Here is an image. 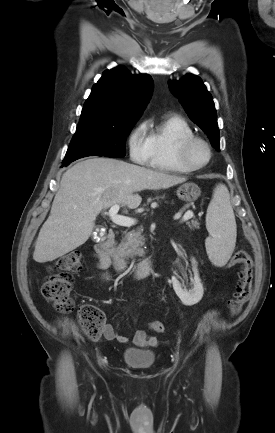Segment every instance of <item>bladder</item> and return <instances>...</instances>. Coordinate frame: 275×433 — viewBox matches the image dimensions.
<instances>
[{"mask_svg": "<svg viewBox=\"0 0 275 433\" xmlns=\"http://www.w3.org/2000/svg\"><path fill=\"white\" fill-rule=\"evenodd\" d=\"M122 359L133 368H149L155 361V354L152 350L130 347L124 350Z\"/></svg>", "mask_w": 275, "mask_h": 433, "instance_id": "31cf9c89", "label": "bladder"}]
</instances>
